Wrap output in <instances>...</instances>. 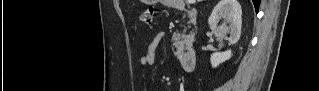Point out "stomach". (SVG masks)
<instances>
[{
	"instance_id": "1",
	"label": "stomach",
	"mask_w": 319,
	"mask_h": 91,
	"mask_svg": "<svg viewBox=\"0 0 319 91\" xmlns=\"http://www.w3.org/2000/svg\"><path fill=\"white\" fill-rule=\"evenodd\" d=\"M145 2L147 4H154L156 2H158L157 0H145ZM164 3H168V4H172V5H175L177 0H163Z\"/></svg>"
}]
</instances>
